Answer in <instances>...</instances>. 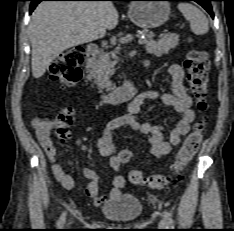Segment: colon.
Here are the masks:
<instances>
[{"label": "colon", "mask_w": 234, "mask_h": 231, "mask_svg": "<svg viewBox=\"0 0 234 231\" xmlns=\"http://www.w3.org/2000/svg\"><path fill=\"white\" fill-rule=\"evenodd\" d=\"M83 58L84 52L80 46L67 49L51 65V77L67 86L76 84L82 77L80 66ZM184 66L188 73V82L197 101L198 109L204 111L207 107L206 98L209 92V60L206 52L199 48L190 49L184 61ZM72 122L73 118L70 111L62 112L56 120V134L65 139L67 137V126ZM205 127L206 123L202 118L195 123L175 157L172 166L173 175L180 174L197 153L203 141ZM132 157L133 153L129 149H123L119 153V159L122 163H128ZM129 180L132 184L144 185L151 190H159L169 185L172 175L155 174L146 176L141 171L133 170L129 174Z\"/></svg>", "instance_id": "5ec220e1"}]
</instances>
